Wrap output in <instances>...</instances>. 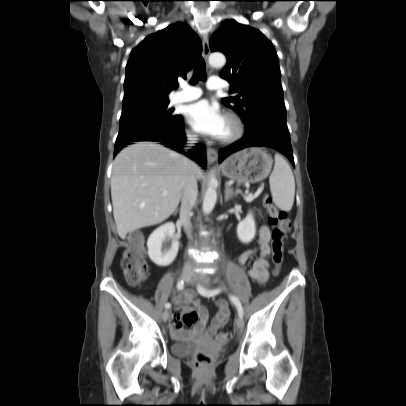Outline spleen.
I'll use <instances>...</instances> for the list:
<instances>
[{
    "label": "spleen",
    "mask_w": 406,
    "mask_h": 406,
    "mask_svg": "<svg viewBox=\"0 0 406 406\" xmlns=\"http://www.w3.org/2000/svg\"><path fill=\"white\" fill-rule=\"evenodd\" d=\"M269 183L275 205L281 210L290 211L295 197V179L290 166L279 154L275 155Z\"/></svg>",
    "instance_id": "spleen-1"
}]
</instances>
